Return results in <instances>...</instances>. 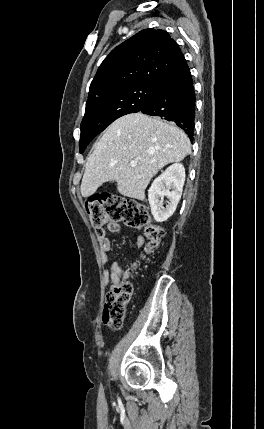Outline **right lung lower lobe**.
Here are the masks:
<instances>
[{"label": "right lung lower lobe", "mask_w": 264, "mask_h": 429, "mask_svg": "<svg viewBox=\"0 0 264 429\" xmlns=\"http://www.w3.org/2000/svg\"><path fill=\"white\" fill-rule=\"evenodd\" d=\"M195 92L190 69L183 58L156 86L140 112L175 122L193 140Z\"/></svg>", "instance_id": "obj_1"}]
</instances>
